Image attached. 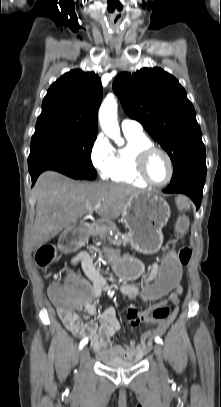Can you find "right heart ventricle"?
I'll return each mask as SVG.
<instances>
[{"label":"right heart ventricle","mask_w":221,"mask_h":407,"mask_svg":"<svg viewBox=\"0 0 221 407\" xmlns=\"http://www.w3.org/2000/svg\"><path fill=\"white\" fill-rule=\"evenodd\" d=\"M127 143L114 151L113 166L109 178L138 187H145L136 171V156L144 148L152 146L151 140L144 133L124 132Z\"/></svg>","instance_id":"right-heart-ventricle-1"}]
</instances>
